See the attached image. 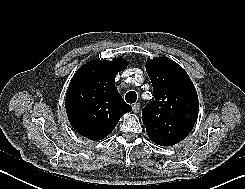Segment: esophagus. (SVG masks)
<instances>
[{
    "label": "esophagus",
    "instance_id": "esophagus-1",
    "mask_svg": "<svg viewBox=\"0 0 245 189\" xmlns=\"http://www.w3.org/2000/svg\"><path fill=\"white\" fill-rule=\"evenodd\" d=\"M133 112L134 113H138L140 111V104L139 103H135L133 106Z\"/></svg>",
    "mask_w": 245,
    "mask_h": 189
}]
</instances>
